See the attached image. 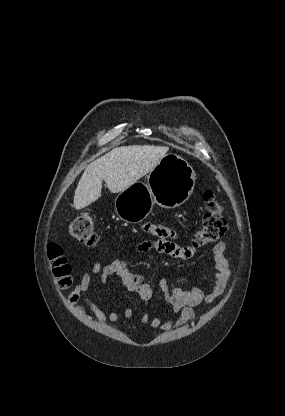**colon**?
I'll list each match as a JSON object with an SVG mask.
<instances>
[{"mask_svg": "<svg viewBox=\"0 0 285 416\" xmlns=\"http://www.w3.org/2000/svg\"><path fill=\"white\" fill-rule=\"evenodd\" d=\"M203 200L206 204V211L203 215L202 227L193 236L192 245L194 247H203L218 241L227 230L224 207L214 192L211 190L205 191ZM69 234L87 246H95L98 242L94 218L88 213L79 215L70 223ZM47 250L48 256L52 261L53 273L58 283L62 287L70 285L71 269L61 247L57 244H50Z\"/></svg>", "mask_w": 285, "mask_h": 416, "instance_id": "obj_1", "label": "colon"}]
</instances>
